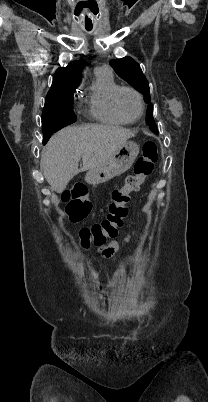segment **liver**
I'll return each mask as SVG.
<instances>
[{
    "label": "liver",
    "instance_id": "liver-1",
    "mask_svg": "<svg viewBox=\"0 0 208 402\" xmlns=\"http://www.w3.org/2000/svg\"><path fill=\"white\" fill-rule=\"evenodd\" d=\"M134 134L115 126H70L50 138L41 156L43 176L52 190L61 194L68 182L85 170L108 160ZM83 160L79 170L78 162Z\"/></svg>",
    "mask_w": 208,
    "mask_h": 402
}]
</instances>
